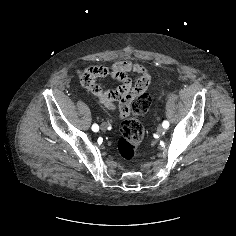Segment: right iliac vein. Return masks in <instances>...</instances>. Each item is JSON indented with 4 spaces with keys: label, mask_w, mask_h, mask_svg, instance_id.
Returning a JSON list of instances; mask_svg holds the SVG:
<instances>
[{
    "label": "right iliac vein",
    "mask_w": 236,
    "mask_h": 236,
    "mask_svg": "<svg viewBox=\"0 0 236 236\" xmlns=\"http://www.w3.org/2000/svg\"><path fill=\"white\" fill-rule=\"evenodd\" d=\"M107 127H108L107 123L104 122V123L101 124V129L102 130H106Z\"/></svg>",
    "instance_id": "right-iliac-vein-1"
}]
</instances>
